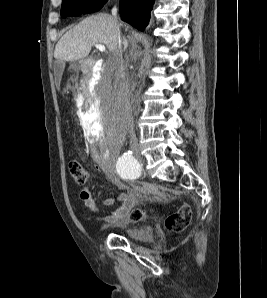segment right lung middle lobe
<instances>
[{
    "mask_svg": "<svg viewBox=\"0 0 267 298\" xmlns=\"http://www.w3.org/2000/svg\"><path fill=\"white\" fill-rule=\"evenodd\" d=\"M106 0H62L61 15L79 16L99 11Z\"/></svg>",
    "mask_w": 267,
    "mask_h": 298,
    "instance_id": "1",
    "label": "right lung middle lobe"
}]
</instances>
